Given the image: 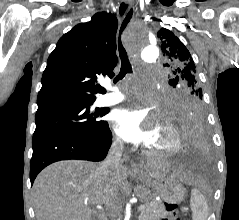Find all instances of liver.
<instances>
[{"label": "liver", "mask_w": 239, "mask_h": 220, "mask_svg": "<svg viewBox=\"0 0 239 220\" xmlns=\"http://www.w3.org/2000/svg\"><path fill=\"white\" fill-rule=\"evenodd\" d=\"M149 174L153 178L161 177L158 171ZM128 175L125 166L106 174L101 164L88 161L53 163L37 176L32 187L36 220H91L90 205H104L113 212ZM172 177L184 183L192 182L191 176L182 170H176Z\"/></svg>", "instance_id": "obj_1"}]
</instances>
